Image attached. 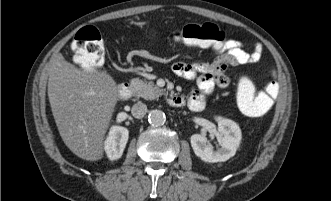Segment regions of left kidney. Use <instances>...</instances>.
<instances>
[{
  "instance_id": "5707ae66",
  "label": "left kidney",
  "mask_w": 331,
  "mask_h": 201,
  "mask_svg": "<svg viewBox=\"0 0 331 201\" xmlns=\"http://www.w3.org/2000/svg\"><path fill=\"white\" fill-rule=\"evenodd\" d=\"M217 137L220 144L218 150H214L207 138L200 134H193L190 138L191 146L201 160L209 163L225 162L236 153L242 135L239 126L230 119L218 117Z\"/></svg>"
}]
</instances>
